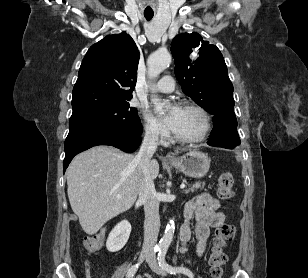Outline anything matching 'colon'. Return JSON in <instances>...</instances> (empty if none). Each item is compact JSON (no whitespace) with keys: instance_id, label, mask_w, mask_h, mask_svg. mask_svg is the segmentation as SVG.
<instances>
[{"instance_id":"colon-1","label":"colon","mask_w":308,"mask_h":278,"mask_svg":"<svg viewBox=\"0 0 308 278\" xmlns=\"http://www.w3.org/2000/svg\"><path fill=\"white\" fill-rule=\"evenodd\" d=\"M234 179L231 173L223 171L218 177V196L223 201H227L233 196ZM234 227L231 224L223 223L215 232L213 246L209 255L208 264L212 278H221L223 274V266L226 263L227 256L225 248L234 237ZM101 234V235H100ZM94 236L84 238L83 244L88 251H95L100 246L103 237H110V230H101V233ZM105 244L104 242L102 243Z\"/></svg>"}]
</instances>
